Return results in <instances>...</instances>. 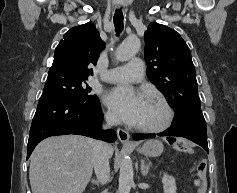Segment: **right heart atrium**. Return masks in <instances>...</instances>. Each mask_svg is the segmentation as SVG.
I'll list each match as a JSON object with an SVG mask.
<instances>
[{
    "instance_id": "1",
    "label": "right heart atrium",
    "mask_w": 237,
    "mask_h": 193,
    "mask_svg": "<svg viewBox=\"0 0 237 193\" xmlns=\"http://www.w3.org/2000/svg\"><path fill=\"white\" fill-rule=\"evenodd\" d=\"M105 118L108 122L110 123H115L117 122V116L115 115V113L111 110H107L105 113Z\"/></svg>"
}]
</instances>
